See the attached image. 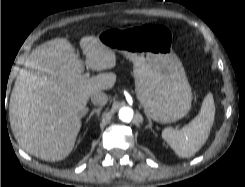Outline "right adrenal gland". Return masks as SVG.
I'll return each instance as SVG.
<instances>
[{"mask_svg": "<svg viewBox=\"0 0 245 187\" xmlns=\"http://www.w3.org/2000/svg\"><path fill=\"white\" fill-rule=\"evenodd\" d=\"M101 110H102V107H99V108H97V109H93V110L90 112V114H89V116H88V118H87V120H86V123H88V121L91 119V117H92L94 114H96L97 116H99Z\"/></svg>", "mask_w": 245, "mask_h": 187, "instance_id": "right-adrenal-gland-1", "label": "right adrenal gland"}]
</instances>
